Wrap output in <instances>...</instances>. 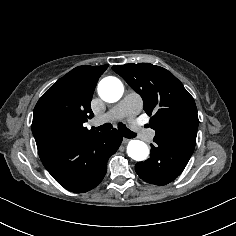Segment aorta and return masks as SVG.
Wrapping results in <instances>:
<instances>
[{
  "mask_svg": "<svg viewBox=\"0 0 236 236\" xmlns=\"http://www.w3.org/2000/svg\"><path fill=\"white\" fill-rule=\"evenodd\" d=\"M124 87L116 77L103 78L98 85L100 98L109 103L117 102L123 95ZM128 156L136 161H144L149 155L148 146L140 140H131L127 145Z\"/></svg>",
  "mask_w": 236,
  "mask_h": 236,
  "instance_id": "obj_1",
  "label": "aorta"
}]
</instances>
